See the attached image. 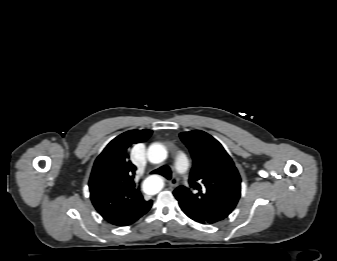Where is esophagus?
Wrapping results in <instances>:
<instances>
[{
  "label": "esophagus",
  "mask_w": 337,
  "mask_h": 261,
  "mask_svg": "<svg viewBox=\"0 0 337 261\" xmlns=\"http://www.w3.org/2000/svg\"><path fill=\"white\" fill-rule=\"evenodd\" d=\"M169 185H170L171 187H176V186L178 185V178H177L176 176H174V177L170 180Z\"/></svg>",
  "instance_id": "esophagus-1"
}]
</instances>
